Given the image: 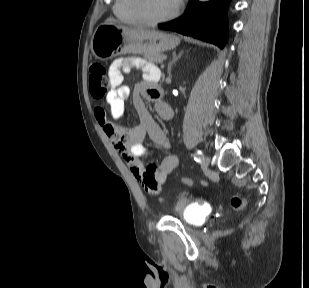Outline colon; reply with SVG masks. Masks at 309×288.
<instances>
[{"label": "colon", "mask_w": 309, "mask_h": 288, "mask_svg": "<svg viewBox=\"0 0 309 288\" xmlns=\"http://www.w3.org/2000/svg\"><path fill=\"white\" fill-rule=\"evenodd\" d=\"M89 88L91 95L96 99H101L105 96L108 89V78L106 68L101 64H94L89 69ZM182 184L189 186L191 180L187 177L182 178ZM231 206L234 210L243 208L245 202L239 195H234L231 198Z\"/></svg>", "instance_id": "1"}]
</instances>
